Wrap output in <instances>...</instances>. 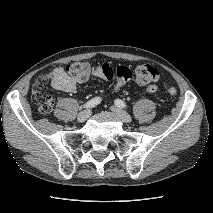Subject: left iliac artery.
Instances as JSON below:
<instances>
[{"instance_id":"obj_1","label":"left iliac artery","mask_w":213,"mask_h":213,"mask_svg":"<svg viewBox=\"0 0 213 213\" xmlns=\"http://www.w3.org/2000/svg\"><path fill=\"white\" fill-rule=\"evenodd\" d=\"M115 105L117 107H121V108H126L127 107L126 103L124 101L120 100V99H116L115 100Z\"/></svg>"}]
</instances>
